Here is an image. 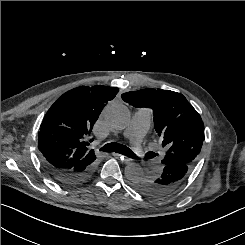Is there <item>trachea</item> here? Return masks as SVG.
Listing matches in <instances>:
<instances>
[{"mask_svg": "<svg viewBox=\"0 0 245 245\" xmlns=\"http://www.w3.org/2000/svg\"><path fill=\"white\" fill-rule=\"evenodd\" d=\"M100 150L104 152H116L130 158H136L135 154L128 147L116 142L107 143Z\"/></svg>", "mask_w": 245, "mask_h": 245, "instance_id": "3493384b", "label": "trachea"}]
</instances>
